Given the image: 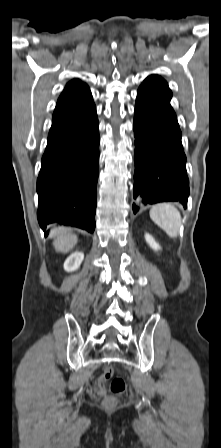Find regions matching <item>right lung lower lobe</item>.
<instances>
[{
    "label": "right lung lower lobe",
    "instance_id": "98d812e1",
    "mask_svg": "<svg viewBox=\"0 0 221 448\" xmlns=\"http://www.w3.org/2000/svg\"><path fill=\"white\" fill-rule=\"evenodd\" d=\"M98 126L91 93L54 112L37 179V216L44 231L60 222L94 232Z\"/></svg>",
    "mask_w": 221,
    "mask_h": 448
}]
</instances>
